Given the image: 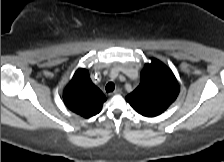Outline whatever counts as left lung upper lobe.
<instances>
[{
  "instance_id": "1",
  "label": "left lung upper lobe",
  "mask_w": 224,
  "mask_h": 162,
  "mask_svg": "<svg viewBox=\"0 0 224 162\" xmlns=\"http://www.w3.org/2000/svg\"><path fill=\"white\" fill-rule=\"evenodd\" d=\"M178 93L179 85L171 69L153 58L151 63L145 64L139 86L126 100L139 114L154 117L164 112Z\"/></svg>"
}]
</instances>
